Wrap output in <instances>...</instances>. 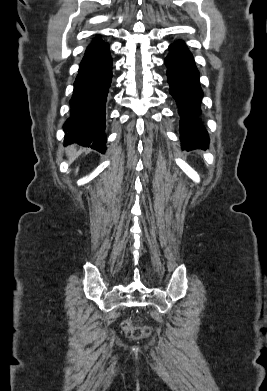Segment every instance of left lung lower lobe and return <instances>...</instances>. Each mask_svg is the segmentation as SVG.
Masks as SVG:
<instances>
[{"label":"left lung lower lobe","mask_w":267,"mask_h":391,"mask_svg":"<svg viewBox=\"0 0 267 391\" xmlns=\"http://www.w3.org/2000/svg\"><path fill=\"white\" fill-rule=\"evenodd\" d=\"M165 58L167 81L170 94L176 100L180 114V134L183 149H206L209 138L202 126L199 115L203 92L199 83V72L192 54L183 41L169 46Z\"/></svg>","instance_id":"left-lung-lower-lobe-1"}]
</instances>
